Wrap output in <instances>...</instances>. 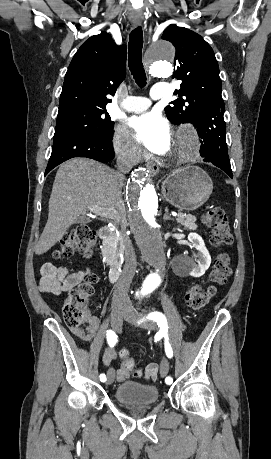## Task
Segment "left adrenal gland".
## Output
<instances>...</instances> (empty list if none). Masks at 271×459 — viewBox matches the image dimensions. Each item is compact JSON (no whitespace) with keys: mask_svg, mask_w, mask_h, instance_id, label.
I'll use <instances>...</instances> for the list:
<instances>
[{"mask_svg":"<svg viewBox=\"0 0 271 459\" xmlns=\"http://www.w3.org/2000/svg\"><path fill=\"white\" fill-rule=\"evenodd\" d=\"M163 220H171L169 214H168V208H165V214L163 216Z\"/></svg>","mask_w":271,"mask_h":459,"instance_id":"left-adrenal-gland-1","label":"left adrenal gland"}]
</instances>
